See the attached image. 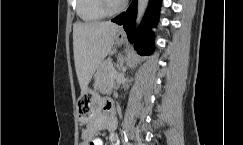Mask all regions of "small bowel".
Listing matches in <instances>:
<instances>
[{"label":"small bowel","instance_id":"c3829d8e","mask_svg":"<svg viewBox=\"0 0 243 145\" xmlns=\"http://www.w3.org/2000/svg\"><path fill=\"white\" fill-rule=\"evenodd\" d=\"M117 120L113 115V105L109 100L103 104V112L92 119L81 133V145H104L102 138L96 133L100 130L110 132V142L112 145H119V138L116 133Z\"/></svg>","mask_w":243,"mask_h":145}]
</instances>
